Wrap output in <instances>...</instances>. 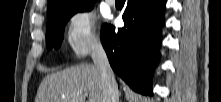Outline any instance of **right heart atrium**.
Returning a JSON list of instances; mask_svg holds the SVG:
<instances>
[{"mask_svg":"<svg viewBox=\"0 0 221 102\" xmlns=\"http://www.w3.org/2000/svg\"><path fill=\"white\" fill-rule=\"evenodd\" d=\"M66 39L76 57L86 56L100 44L97 19L88 9L74 11L67 22Z\"/></svg>","mask_w":221,"mask_h":102,"instance_id":"d8ad5b80","label":"right heart atrium"}]
</instances>
